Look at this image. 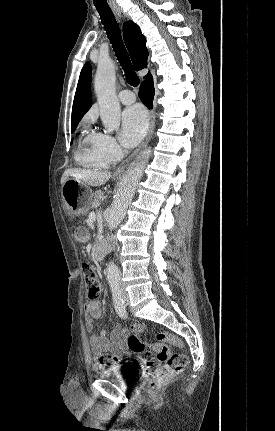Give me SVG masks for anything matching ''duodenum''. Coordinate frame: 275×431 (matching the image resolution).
I'll return each instance as SVG.
<instances>
[{"label":"duodenum","mask_w":275,"mask_h":431,"mask_svg":"<svg viewBox=\"0 0 275 431\" xmlns=\"http://www.w3.org/2000/svg\"><path fill=\"white\" fill-rule=\"evenodd\" d=\"M111 248L112 244L107 239H99L94 249L95 259L98 261L102 260Z\"/></svg>","instance_id":"obj_1"}]
</instances>
